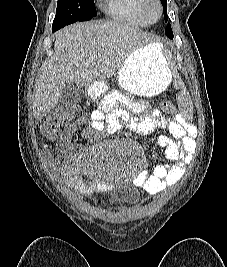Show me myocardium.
<instances>
[{
  "label": "myocardium",
  "instance_id": "f54148a6",
  "mask_svg": "<svg viewBox=\"0 0 227 267\" xmlns=\"http://www.w3.org/2000/svg\"><path fill=\"white\" fill-rule=\"evenodd\" d=\"M142 10L149 22L158 21L163 14L160 0H143Z\"/></svg>",
  "mask_w": 227,
  "mask_h": 267
}]
</instances>
